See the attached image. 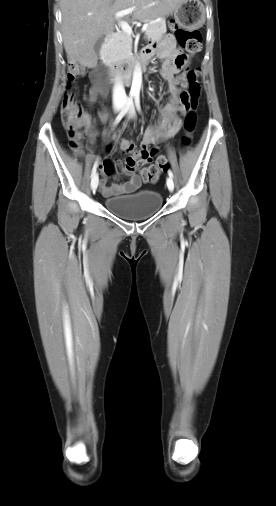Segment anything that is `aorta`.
<instances>
[{"mask_svg": "<svg viewBox=\"0 0 276 506\" xmlns=\"http://www.w3.org/2000/svg\"><path fill=\"white\" fill-rule=\"evenodd\" d=\"M142 84V70L139 64H136L133 71V79L132 86L130 90V95H138L140 93V88Z\"/></svg>", "mask_w": 276, "mask_h": 506, "instance_id": "1", "label": "aorta"}]
</instances>
